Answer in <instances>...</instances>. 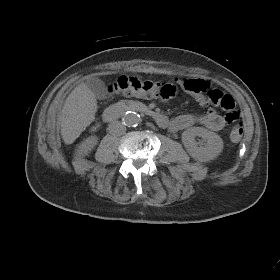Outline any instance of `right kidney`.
Instances as JSON below:
<instances>
[{"label":"right kidney","mask_w":280,"mask_h":280,"mask_svg":"<svg viewBox=\"0 0 280 280\" xmlns=\"http://www.w3.org/2000/svg\"><path fill=\"white\" fill-rule=\"evenodd\" d=\"M98 138L96 136H91L86 138L84 141L79 146L80 151L83 154H88L92 151V149L95 147L97 144Z\"/></svg>","instance_id":"ca27d5eb"}]
</instances>
